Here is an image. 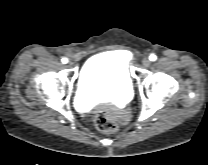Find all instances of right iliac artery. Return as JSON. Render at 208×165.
Returning <instances> with one entry per match:
<instances>
[{
  "mask_svg": "<svg viewBox=\"0 0 208 165\" xmlns=\"http://www.w3.org/2000/svg\"><path fill=\"white\" fill-rule=\"evenodd\" d=\"M61 61H62L63 64H66L68 62V59L67 58H62Z\"/></svg>",
  "mask_w": 208,
  "mask_h": 165,
  "instance_id": "82829eb1",
  "label": "right iliac artery"
}]
</instances>
